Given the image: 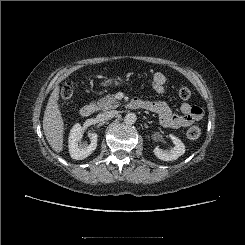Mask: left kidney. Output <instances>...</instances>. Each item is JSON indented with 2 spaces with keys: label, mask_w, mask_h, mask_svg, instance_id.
<instances>
[{
  "label": "left kidney",
  "mask_w": 245,
  "mask_h": 245,
  "mask_svg": "<svg viewBox=\"0 0 245 245\" xmlns=\"http://www.w3.org/2000/svg\"><path fill=\"white\" fill-rule=\"evenodd\" d=\"M174 147L171 150H162L159 147H156L153 152L155 156L163 161H173L178 159L181 155L185 153L184 143L176 136L170 134Z\"/></svg>",
  "instance_id": "1"
}]
</instances>
